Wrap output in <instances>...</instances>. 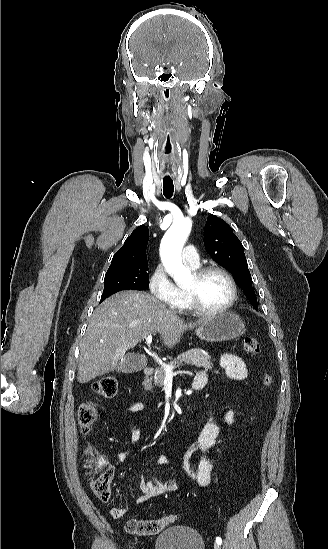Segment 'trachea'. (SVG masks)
I'll return each instance as SVG.
<instances>
[{"label": "trachea", "instance_id": "1", "mask_svg": "<svg viewBox=\"0 0 328 549\" xmlns=\"http://www.w3.org/2000/svg\"><path fill=\"white\" fill-rule=\"evenodd\" d=\"M174 192V184L172 180H163V194L167 199H170Z\"/></svg>", "mask_w": 328, "mask_h": 549}]
</instances>
